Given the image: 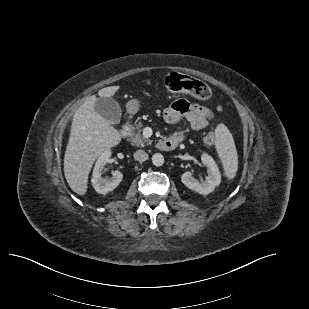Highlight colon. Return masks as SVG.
Here are the masks:
<instances>
[{"mask_svg":"<svg viewBox=\"0 0 309 309\" xmlns=\"http://www.w3.org/2000/svg\"><path fill=\"white\" fill-rule=\"evenodd\" d=\"M169 91L176 94H187L195 99L206 101L211 96L210 88L203 82L190 76L172 73L165 80ZM215 141L213 134H208L204 138V143L212 145Z\"/></svg>","mask_w":309,"mask_h":309,"instance_id":"5ec220e1","label":"colon"}]
</instances>
